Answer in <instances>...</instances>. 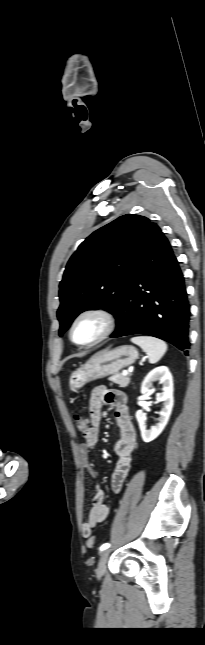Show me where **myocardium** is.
Segmentation results:
<instances>
[{"label":"myocardium","instance_id":"1","mask_svg":"<svg viewBox=\"0 0 205 645\" xmlns=\"http://www.w3.org/2000/svg\"><path fill=\"white\" fill-rule=\"evenodd\" d=\"M86 317H95L99 319L102 323V330L100 334L93 339L90 342L86 343H81L75 340L74 338V331L77 326V324L84 318ZM116 327V318L115 316L107 309L104 308H99V307H92V308H87L83 311H81L72 321L70 328H69V338L70 340L78 346L81 347H92L103 340H105L107 337H109L112 332L114 331Z\"/></svg>","mask_w":205,"mask_h":645}]
</instances>
